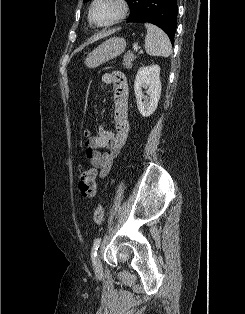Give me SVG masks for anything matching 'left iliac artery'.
Wrapping results in <instances>:
<instances>
[{
	"label": "left iliac artery",
	"mask_w": 245,
	"mask_h": 314,
	"mask_svg": "<svg viewBox=\"0 0 245 314\" xmlns=\"http://www.w3.org/2000/svg\"><path fill=\"white\" fill-rule=\"evenodd\" d=\"M100 242H101V238L95 239L94 244H93V247H92V251H91V257H92V258H95V257H96V255H97V250H98V248H99Z\"/></svg>",
	"instance_id": "obj_1"
}]
</instances>
